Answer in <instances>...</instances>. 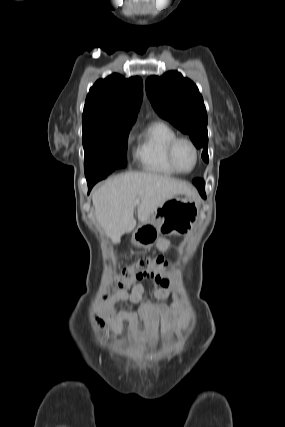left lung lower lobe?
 <instances>
[{"mask_svg":"<svg viewBox=\"0 0 285 427\" xmlns=\"http://www.w3.org/2000/svg\"><path fill=\"white\" fill-rule=\"evenodd\" d=\"M193 183L197 186V188H198L199 193L201 194V196L203 198H206V194H205V191H204V185H205L204 181L202 179H195V180H193Z\"/></svg>","mask_w":285,"mask_h":427,"instance_id":"left-lung-lower-lobe-1","label":"left lung lower lobe"}]
</instances>
